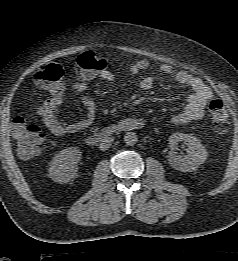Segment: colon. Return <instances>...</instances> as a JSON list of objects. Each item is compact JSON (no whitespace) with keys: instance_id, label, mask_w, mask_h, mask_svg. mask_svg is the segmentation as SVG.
<instances>
[{"instance_id":"5ec220e1","label":"colon","mask_w":238,"mask_h":261,"mask_svg":"<svg viewBox=\"0 0 238 261\" xmlns=\"http://www.w3.org/2000/svg\"><path fill=\"white\" fill-rule=\"evenodd\" d=\"M105 66L106 62L102 57L92 52H85L78 56L67 69L73 74L91 76L97 74ZM65 72L66 68L61 63L52 62L35 74V81L44 89L60 93L64 90ZM208 115L214 132L218 135L224 134L228 127V115L220 100L214 99L209 103ZM12 134L17 144V151L22 158L37 155L45 139V133L38 126L28 123L22 116H16L13 119Z\"/></svg>"}]
</instances>
